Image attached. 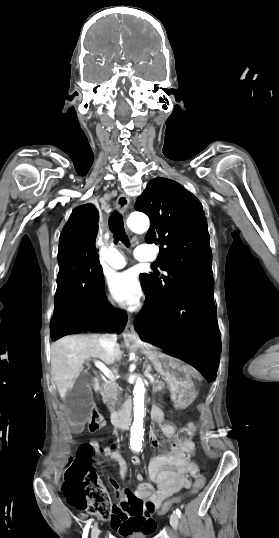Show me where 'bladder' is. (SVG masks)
Returning a JSON list of instances; mask_svg holds the SVG:
<instances>
[{"mask_svg":"<svg viewBox=\"0 0 279 538\" xmlns=\"http://www.w3.org/2000/svg\"><path fill=\"white\" fill-rule=\"evenodd\" d=\"M128 538H148L146 532H129Z\"/></svg>","mask_w":279,"mask_h":538,"instance_id":"1","label":"bladder"}]
</instances>
